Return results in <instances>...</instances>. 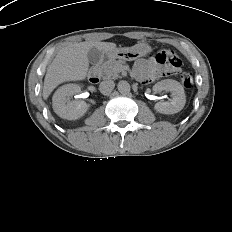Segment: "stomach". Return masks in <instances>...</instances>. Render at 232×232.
<instances>
[{
    "mask_svg": "<svg viewBox=\"0 0 232 232\" xmlns=\"http://www.w3.org/2000/svg\"><path fill=\"white\" fill-rule=\"evenodd\" d=\"M151 47L148 44L140 43L132 48L115 49L114 51L105 54V59L108 61L119 60H134L142 56H146L151 52Z\"/></svg>",
    "mask_w": 232,
    "mask_h": 232,
    "instance_id": "stomach-1",
    "label": "stomach"
}]
</instances>
